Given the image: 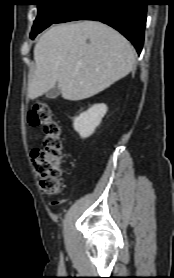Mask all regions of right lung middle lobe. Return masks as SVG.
Instances as JSON below:
<instances>
[{
	"label": "right lung middle lobe",
	"instance_id": "obj_1",
	"mask_svg": "<svg viewBox=\"0 0 174 278\" xmlns=\"http://www.w3.org/2000/svg\"><path fill=\"white\" fill-rule=\"evenodd\" d=\"M38 6V15L34 21L31 39H34L37 34L53 24L64 10L74 0H34Z\"/></svg>",
	"mask_w": 174,
	"mask_h": 278
}]
</instances>
